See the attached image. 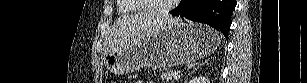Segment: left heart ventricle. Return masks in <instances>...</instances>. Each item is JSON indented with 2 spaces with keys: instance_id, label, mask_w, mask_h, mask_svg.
<instances>
[{
  "instance_id": "1",
  "label": "left heart ventricle",
  "mask_w": 307,
  "mask_h": 83,
  "mask_svg": "<svg viewBox=\"0 0 307 83\" xmlns=\"http://www.w3.org/2000/svg\"><path fill=\"white\" fill-rule=\"evenodd\" d=\"M171 1L172 0H145L144 2L150 10H157L160 7L167 5Z\"/></svg>"
}]
</instances>
